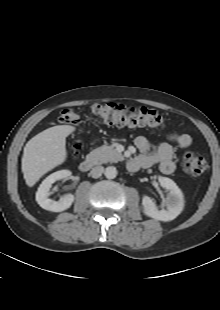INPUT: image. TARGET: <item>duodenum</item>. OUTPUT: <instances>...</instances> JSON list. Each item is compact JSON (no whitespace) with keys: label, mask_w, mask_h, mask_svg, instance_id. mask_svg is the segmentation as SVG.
<instances>
[{"label":"duodenum","mask_w":220,"mask_h":310,"mask_svg":"<svg viewBox=\"0 0 220 310\" xmlns=\"http://www.w3.org/2000/svg\"><path fill=\"white\" fill-rule=\"evenodd\" d=\"M94 164H95V160L94 159L86 158V159L82 160L79 163V169H80V171L86 173V172H89L93 168ZM128 168L130 170H136V168H137V160L136 159H131L128 162Z\"/></svg>","instance_id":"obj_1"}]
</instances>
